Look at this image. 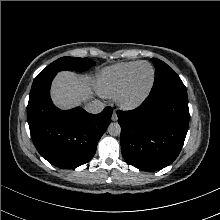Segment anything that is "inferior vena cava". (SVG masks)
<instances>
[{
	"instance_id": "inferior-vena-cava-1",
	"label": "inferior vena cava",
	"mask_w": 220,
	"mask_h": 220,
	"mask_svg": "<svg viewBox=\"0 0 220 220\" xmlns=\"http://www.w3.org/2000/svg\"><path fill=\"white\" fill-rule=\"evenodd\" d=\"M105 104L100 100H93L86 104L85 110L91 114H98L103 111Z\"/></svg>"
}]
</instances>
